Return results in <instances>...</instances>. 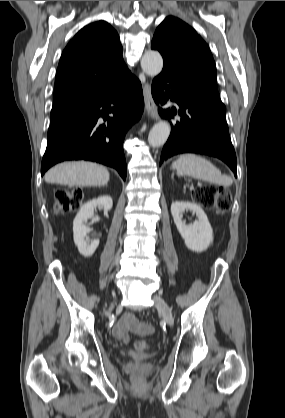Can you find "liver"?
<instances>
[{
  "mask_svg": "<svg viewBox=\"0 0 285 418\" xmlns=\"http://www.w3.org/2000/svg\"><path fill=\"white\" fill-rule=\"evenodd\" d=\"M108 170L92 162H64L51 168L45 174V181L67 186H103L109 181Z\"/></svg>",
  "mask_w": 285,
  "mask_h": 418,
  "instance_id": "liver-1",
  "label": "liver"
}]
</instances>
